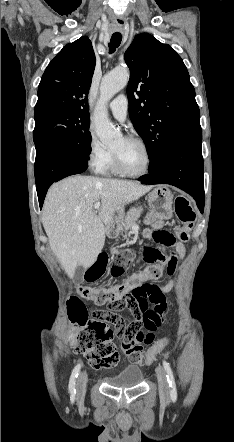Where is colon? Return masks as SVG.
Wrapping results in <instances>:
<instances>
[{
    "mask_svg": "<svg viewBox=\"0 0 234 442\" xmlns=\"http://www.w3.org/2000/svg\"><path fill=\"white\" fill-rule=\"evenodd\" d=\"M174 208L180 223L175 235L168 232H154V239L162 247H171L176 242V239L184 242L187 241L195 222V212L185 196L178 195L175 198ZM161 254L158 249L151 246L143 247V259L150 265L129 278V283H141V285L136 286L132 290H126L124 283L112 287L92 288L82 286L78 290L79 296H74L69 300V316L73 330L71 345L85 356L91 366L111 369L118 361V355L112 343V331L106 333L105 331H96L95 328L87 327V320L89 318L83 300L92 301L99 305L108 303L113 310L129 309L134 316L137 314H163L166 309L164 294L155 286L144 283L147 280L159 278L165 270L157 262ZM131 260V256L128 253H122L115 257L109 268L110 277L116 278L121 276L130 266ZM106 269L107 257L105 254H100L95 263L87 270L86 280L93 282L100 279L105 274ZM95 314L100 313L99 311L94 312L92 317ZM116 335L119 337V334L116 333ZM166 344L167 339H162L156 340L155 344L149 345L148 351L145 354L146 359L143 361L144 366H151L155 362L156 357L160 356L161 352L164 351Z\"/></svg>",
    "mask_w": 234,
    "mask_h": 442,
    "instance_id": "obj_1",
    "label": "colon"
}]
</instances>
